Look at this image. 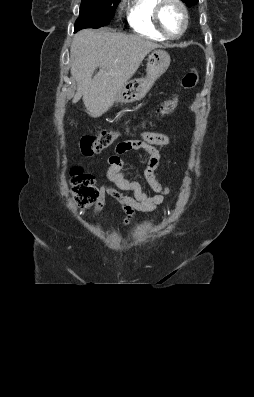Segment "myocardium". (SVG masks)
Segmentation results:
<instances>
[{
    "label": "myocardium",
    "mask_w": 254,
    "mask_h": 397,
    "mask_svg": "<svg viewBox=\"0 0 254 397\" xmlns=\"http://www.w3.org/2000/svg\"><path fill=\"white\" fill-rule=\"evenodd\" d=\"M168 3H173V4L177 5L182 12L183 25H182L180 32L176 35L169 34L164 29L162 22H161L162 10L165 7V5ZM153 19H154L155 27L158 30V32L162 36H164L166 39H170V40H175V39H179L180 37H182L184 35V33L186 32V30L188 28V24H189L188 10L182 0H158V3L156 4V6L154 8Z\"/></svg>",
    "instance_id": "1"
}]
</instances>
